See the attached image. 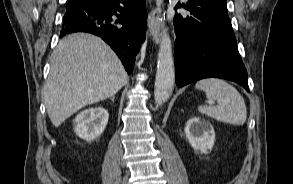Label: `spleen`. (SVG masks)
I'll list each match as a JSON object with an SVG mask.
<instances>
[{"mask_svg":"<svg viewBox=\"0 0 293 184\" xmlns=\"http://www.w3.org/2000/svg\"><path fill=\"white\" fill-rule=\"evenodd\" d=\"M196 89L206 93L208 101L216 100L218 105H202L198 111L217 121L232 125H243L247 119L245 101L238 90L218 78H207L198 81Z\"/></svg>","mask_w":293,"mask_h":184,"instance_id":"obj_1","label":"spleen"}]
</instances>
